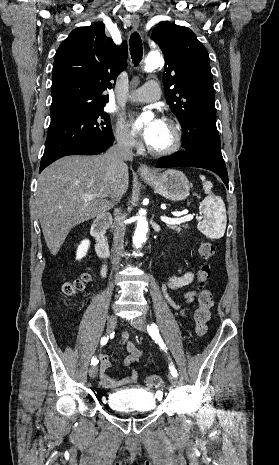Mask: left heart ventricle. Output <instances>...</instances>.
Returning <instances> with one entry per match:
<instances>
[{
  "instance_id": "b2bd125f",
  "label": "left heart ventricle",
  "mask_w": 279,
  "mask_h": 465,
  "mask_svg": "<svg viewBox=\"0 0 279 465\" xmlns=\"http://www.w3.org/2000/svg\"><path fill=\"white\" fill-rule=\"evenodd\" d=\"M173 141L174 133L172 128L168 124L161 122L148 142V145L155 150H163L168 148Z\"/></svg>"
}]
</instances>
